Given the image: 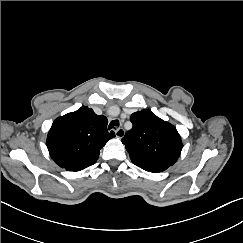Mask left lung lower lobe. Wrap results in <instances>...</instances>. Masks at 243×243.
I'll use <instances>...</instances> for the list:
<instances>
[{
	"label": "left lung lower lobe",
	"mask_w": 243,
	"mask_h": 243,
	"mask_svg": "<svg viewBox=\"0 0 243 243\" xmlns=\"http://www.w3.org/2000/svg\"><path fill=\"white\" fill-rule=\"evenodd\" d=\"M140 168L153 173L164 171V169L157 168V167H150V166H140Z\"/></svg>",
	"instance_id": "obj_1"
}]
</instances>
